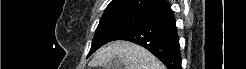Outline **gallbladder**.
<instances>
[{"label":"gallbladder","instance_id":"obj_1","mask_svg":"<svg viewBox=\"0 0 246 69\" xmlns=\"http://www.w3.org/2000/svg\"><path fill=\"white\" fill-rule=\"evenodd\" d=\"M119 65L116 62V59H114L111 63H109L105 69H119Z\"/></svg>","mask_w":246,"mask_h":69}]
</instances>
